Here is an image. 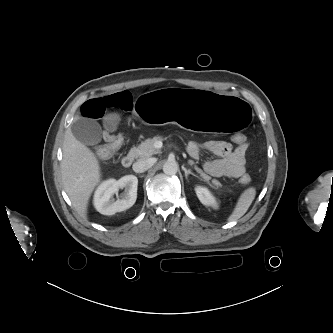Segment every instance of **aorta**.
Returning a JSON list of instances; mask_svg holds the SVG:
<instances>
[{
    "label": "aorta",
    "instance_id": "762f6f07",
    "mask_svg": "<svg viewBox=\"0 0 333 333\" xmlns=\"http://www.w3.org/2000/svg\"><path fill=\"white\" fill-rule=\"evenodd\" d=\"M178 171V166L174 161H167L163 165V172L167 175H174Z\"/></svg>",
    "mask_w": 333,
    "mask_h": 333
}]
</instances>
